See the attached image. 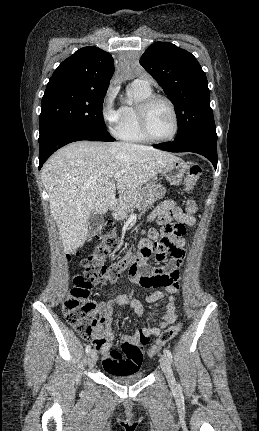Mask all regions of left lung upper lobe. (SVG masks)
I'll return each instance as SVG.
<instances>
[{
	"label": "left lung upper lobe",
	"instance_id": "left-lung-upper-lobe-1",
	"mask_svg": "<svg viewBox=\"0 0 259 431\" xmlns=\"http://www.w3.org/2000/svg\"><path fill=\"white\" fill-rule=\"evenodd\" d=\"M140 64L176 108L175 139L200 133L217 136L207 78L191 53L172 43L155 42L142 55Z\"/></svg>",
	"mask_w": 259,
	"mask_h": 431
}]
</instances>
